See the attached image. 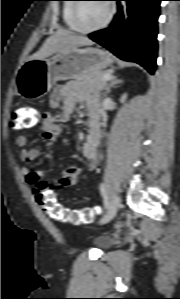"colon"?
Returning <instances> with one entry per match:
<instances>
[{
	"mask_svg": "<svg viewBox=\"0 0 180 299\" xmlns=\"http://www.w3.org/2000/svg\"><path fill=\"white\" fill-rule=\"evenodd\" d=\"M41 116L35 109L17 108L12 115V125L15 129H29L40 122ZM38 204L52 218L72 224H88L94 220L97 207L68 209L61 206L56 199L52 187L48 183H38L34 186Z\"/></svg>",
	"mask_w": 180,
	"mask_h": 299,
	"instance_id": "1",
	"label": "colon"
}]
</instances>
